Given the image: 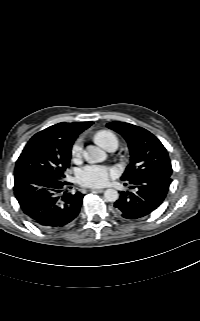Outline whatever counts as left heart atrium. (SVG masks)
<instances>
[{"label": "left heart atrium", "instance_id": "39dd6f15", "mask_svg": "<svg viewBox=\"0 0 200 321\" xmlns=\"http://www.w3.org/2000/svg\"><path fill=\"white\" fill-rule=\"evenodd\" d=\"M113 176L114 172L110 168L101 165L85 166L78 172L80 183L89 187L103 186Z\"/></svg>", "mask_w": 200, "mask_h": 321}]
</instances>
